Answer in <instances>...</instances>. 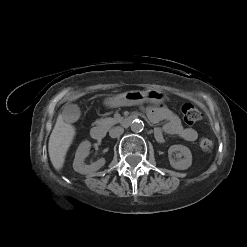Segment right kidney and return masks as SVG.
<instances>
[{"label":"right kidney","instance_id":"obj_1","mask_svg":"<svg viewBox=\"0 0 247 247\" xmlns=\"http://www.w3.org/2000/svg\"><path fill=\"white\" fill-rule=\"evenodd\" d=\"M90 146L91 143L89 141H83L76 151L73 168L80 174H92L104 166L106 162L104 158H100L98 161L93 162L90 165L84 164V159L89 154Z\"/></svg>","mask_w":247,"mask_h":247}]
</instances>
